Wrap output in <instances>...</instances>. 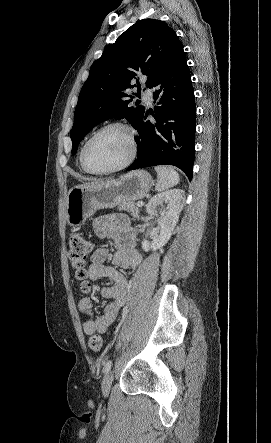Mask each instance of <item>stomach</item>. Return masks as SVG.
I'll use <instances>...</instances> for the list:
<instances>
[{"instance_id": "0dacf381", "label": "stomach", "mask_w": 271, "mask_h": 443, "mask_svg": "<svg viewBox=\"0 0 271 443\" xmlns=\"http://www.w3.org/2000/svg\"><path fill=\"white\" fill-rule=\"evenodd\" d=\"M153 186L145 170H135L117 180L73 186L67 194L66 220L68 225L79 227L101 208H116L123 202L142 200Z\"/></svg>"}]
</instances>
